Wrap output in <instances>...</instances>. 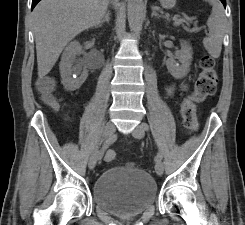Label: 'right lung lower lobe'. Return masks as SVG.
I'll list each match as a JSON object with an SVG mask.
<instances>
[{
  "label": "right lung lower lobe",
  "instance_id": "obj_1",
  "mask_svg": "<svg viewBox=\"0 0 245 225\" xmlns=\"http://www.w3.org/2000/svg\"><path fill=\"white\" fill-rule=\"evenodd\" d=\"M41 0H32V9L36 6V4Z\"/></svg>",
  "mask_w": 245,
  "mask_h": 225
}]
</instances>
